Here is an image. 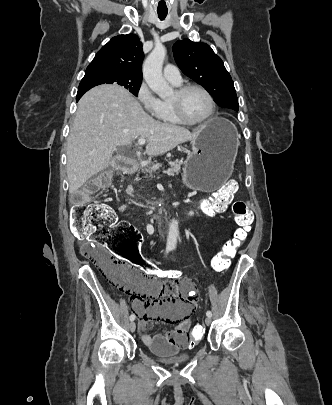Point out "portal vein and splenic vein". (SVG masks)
Listing matches in <instances>:
<instances>
[{
  "mask_svg": "<svg viewBox=\"0 0 332 405\" xmlns=\"http://www.w3.org/2000/svg\"><path fill=\"white\" fill-rule=\"evenodd\" d=\"M146 143V139H144V138H139L138 139V145L139 146H142V145H144Z\"/></svg>",
  "mask_w": 332,
  "mask_h": 405,
  "instance_id": "obj_1",
  "label": "portal vein and splenic vein"
}]
</instances>
